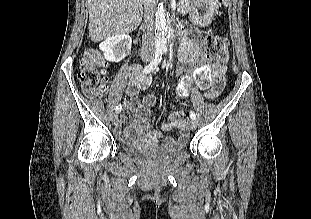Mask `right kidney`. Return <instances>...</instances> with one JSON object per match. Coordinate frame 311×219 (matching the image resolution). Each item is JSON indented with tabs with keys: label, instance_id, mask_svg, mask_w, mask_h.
I'll use <instances>...</instances> for the list:
<instances>
[{
	"label": "right kidney",
	"instance_id": "right-kidney-1",
	"mask_svg": "<svg viewBox=\"0 0 311 219\" xmlns=\"http://www.w3.org/2000/svg\"><path fill=\"white\" fill-rule=\"evenodd\" d=\"M131 45L132 39L129 35L118 34L108 37L99 45V48L107 61L120 62L131 50Z\"/></svg>",
	"mask_w": 311,
	"mask_h": 219
}]
</instances>
